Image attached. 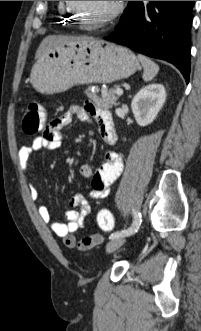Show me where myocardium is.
Returning a JSON list of instances; mask_svg holds the SVG:
<instances>
[{
    "label": "myocardium",
    "instance_id": "1",
    "mask_svg": "<svg viewBox=\"0 0 201 331\" xmlns=\"http://www.w3.org/2000/svg\"><path fill=\"white\" fill-rule=\"evenodd\" d=\"M68 8L73 12L77 19L81 20L87 26L101 27L113 21L121 13L123 9V1H115L112 10L95 22H88V20H86L79 12L73 1H68Z\"/></svg>",
    "mask_w": 201,
    "mask_h": 331
}]
</instances>
